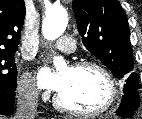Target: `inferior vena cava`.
Instances as JSON below:
<instances>
[{"mask_svg": "<svg viewBox=\"0 0 142 119\" xmlns=\"http://www.w3.org/2000/svg\"><path fill=\"white\" fill-rule=\"evenodd\" d=\"M39 100L38 90L28 84L18 91L17 110L14 119H35Z\"/></svg>", "mask_w": 142, "mask_h": 119, "instance_id": "602c4592", "label": "inferior vena cava"}]
</instances>
